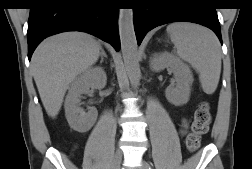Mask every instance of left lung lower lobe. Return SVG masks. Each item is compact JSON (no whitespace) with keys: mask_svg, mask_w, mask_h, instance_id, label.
<instances>
[{"mask_svg":"<svg viewBox=\"0 0 252 169\" xmlns=\"http://www.w3.org/2000/svg\"><path fill=\"white\" fill-rule=\"evenodd\" d=\"M210 1L200 0V5L196 8L190 1H179L170 2L168 7L134 10V27L138 44L148 31L171 22L201 24L213 30L222 42L218 16Z\"/></svg>","mask_w":252,"mask_h":169,"instance_id":"0a47b994","label":"left lung lower lobe"}]
</instances>
